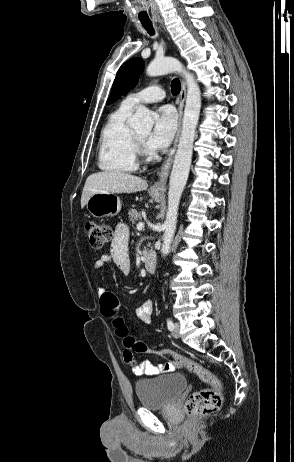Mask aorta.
<instances>
[{"label": "aorta", "instance_id": "1", "mask_svg": "<svg viewBox=\"0 0 294 462\" xmlns=\"http://www.w3.org/2000/svg\"><path fill=\"white\" fill-rule=\"evenodd\" d=\"M146 72L151 77L178 72L184 76L187 84L182 131L170 175L168 208L163 225L164 234L161 253L165 256L171 248L176 230L179 203L189 176L195 131L201 109V93L194 76L186 71L183 65L175 58L154 59L148 65ZM130 126L140 132H150L153 127L150 111L144 106H139L130 121Z\"/></svg>", "mask_w": 294, "mask_h": 462}]
</instances>
